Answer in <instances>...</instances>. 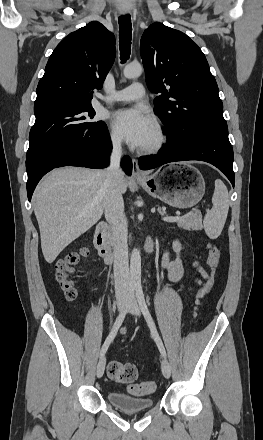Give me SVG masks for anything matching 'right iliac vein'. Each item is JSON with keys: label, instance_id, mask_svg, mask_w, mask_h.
Returning a JSON list of instances; mask_svg holds the SVG:
<instances>
[{"label": "right iliac vein", "instance_id": "right-iliac-vein-1", "mask_svg": "<svg viewBox=\"0 0 263 440\" xmlns=\"http://www.w3.org/2000/svg\"><path fill=\"white\" fill-rule=\"evenodd\" d=\"M127 303V300L125 298L119 299L117 301V306H118V310L119 312H122L123 309L125 308ZM105 364H106V358L104 356H102L98 362L97 365V370H96V374L98 378H101L104 374V370H105Z\"/></svg>", "mask_w": 263, "mask_h": 440}]
</instances>
